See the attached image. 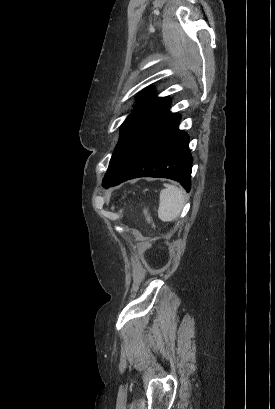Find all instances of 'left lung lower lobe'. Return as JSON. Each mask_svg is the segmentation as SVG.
Here are the masks:
<instances>
[{
  "mask_svg": "<svg viewBox=\"0 0 275 409\" xmlns=\"http://www.w3.org/2000/svg\"><path fill=\"white\" fill-rule=\"evenodd\" d=\"M180 115L168 112L153 124L130 150L110 186L137 177H163L179 181L189 191L192 156L189 136L178 129Z\"/></svg>",
  "mask_w": 275,
  "mask_h": 409,
  "instance_id": "1",
  "label": "left lung lower lobe"
}]
</instances>
